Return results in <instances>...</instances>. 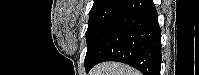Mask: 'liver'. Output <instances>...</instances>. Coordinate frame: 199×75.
<instances>
[{"instance_id":"obj_1","label":"liver","mask_w":199,"mask_h":75,"mask_svg":"<svg viewBox=\"0 0 199 75\" xmlns=\"http://www.w3.org/2000/svg\"><path fill=\"white\" fill-rule=\"evenodd\" d=\"M89 75H141V73L122 63L105 62L95 66Z\"/></svg>"}]
</instances>
